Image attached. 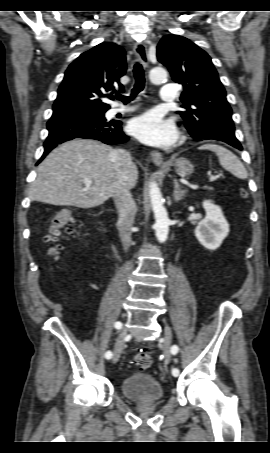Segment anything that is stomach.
Here are the masks:
<instances>
[{
    "label": "stomach",
    "mask_w": 270,
    "mask_h": 453,
    "mask_svg": "<svg viewBox=\"0 0 270 453\" xmlns=\"http://www.w3.org/2000/svg\"><path fill=\"white\" fill-rule=\"evenodd\" d=\"M173 166L175 167L176 173L180 176H188L194 171L193 164L186 158L176 159L173 162Z\"/></svg>",
    "instance_id": "0dacf381"
}]
</instances>
